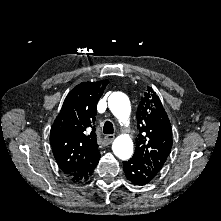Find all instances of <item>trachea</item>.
<instances>
[{
  "label": "trachea",
  "mask_w": 221,
  "mask_h": 221,
  "mask_svg": "<svg viewBox=\"0 0 221 221\" xmlns=\"http://www.w3.org/2000/svg\"><path fill=\"white\" fill-rule=\"evenodd\" d=\"M103 132H104V134H113L114 133V127L110 121H106L104 123Z\"/></svg>",
  "instance_id": "1"
}]
</instances>
